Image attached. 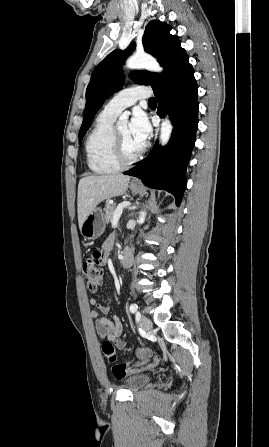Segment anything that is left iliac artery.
I'll list each match as a JSON object with an SVG mask.
<instances>
[{
    "mask_svg": "<svg viewBox=\"0 0 269 447\" xmlns=\"http://www.w3.org/2000/svg\"><path fill=\"white\" fill-rule=\"evenodd\" d=\"M138 306L136 304H131L130 305V311L132 313H136V316L140 317V313L137 311Z\"/></svg>",
    "mask_w": 269,
    "mask_h": 447,
    "instance_id": "obj_1",
    "label": "left iliac artery"
}]
</instances>
